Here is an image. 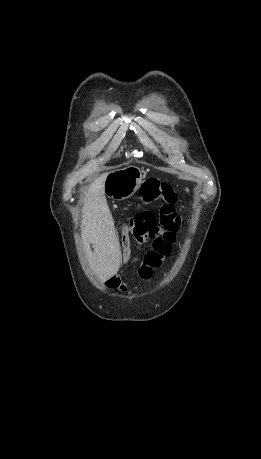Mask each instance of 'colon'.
<instances>
[{
  "label": "colon",
  "mask_w": 261,
  "mask_h": 459,
  "mask_svg": "<svg viewBox=\"0 0 261 459\" xmlns=\"http://www.w3.org/2000/svg\"><path fill=\"white\" fill-rule=\"evenodd\" d=\"M140 198L146 204L160 202V215L157 219L153 212L143 210L137 212L129 222L122 224L119 231L121 237L118 242L121 244L119 249L123 253L125 261L133 259L132 246L130 245L132 231L145 237L167 234L169 238H174L179 230L180 218L174 208L177 196L170 185L155 179L147 180L141 188Z\"/></svg>",
  "instance_id": "obj_1"
}]
</instances>
